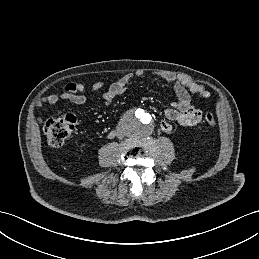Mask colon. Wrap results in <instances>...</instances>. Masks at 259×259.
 Segmentation results:
<instances>
[{
  "label": "colon",
  "mask_w": 259,
  "mask_h": 259,
  "mask_svg": "<svg viewBox=\"0 0 259 259\" xmlns=\"http://www.w3.org/2000/svg\"><path fill=\"white\" fill-rule=\"evenodd\" d=\"M207 127L213 128L216 125V118L213 113L208 112L204 117ZM76 118L72 115L52 118L46 121L43 131L47 142L52 147L63 145L66 139L74 132Z\"/></svg>",
  "instance_id": "1"
}]
</instances>
